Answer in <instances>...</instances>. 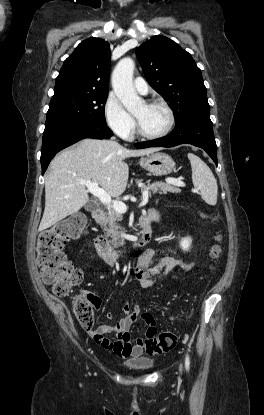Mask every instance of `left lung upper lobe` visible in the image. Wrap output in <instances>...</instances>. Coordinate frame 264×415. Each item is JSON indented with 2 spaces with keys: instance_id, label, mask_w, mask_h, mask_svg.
<instances>
[{
  "instance_id": "left-lung-upper-lobe-1",
  "label": "left lung upper lobe",
  "mask_w": 264,
  "mask_h": 415,
  "mask_svg": "<svg viewBox=\"0 0 264 415\" xmlns=\"http://www.w3.org/2000/svg\"><path fill=\"white\" fill-rule=\"evenodd\" d=\"M136 55L148 83L170 103L176 123L193 111L210 110L201 70L173 40L157 35Z\"/></svg>"
}]
</instances>
